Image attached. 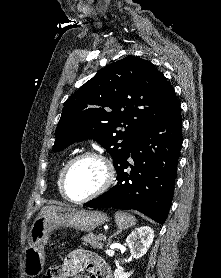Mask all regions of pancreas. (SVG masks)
<instances>
[{
    "label": "pancreas",
    "instance_id": "obj_1",
    "mask_svg": "<svg viewBox=\"0 0 221 278\" xmlns=\"http://www.w3.org/2000/svg\"><path fill=\"white\" fill-rule=\"evenodd\" d=\"M103 239L101 235H94L92 233H89L88 235H84L82 237V240L84 241V245H90L94 249H102L103 244L100 243V241Z\"/></svg>",
    "mask_w": 221,
    "mask_h": 278
}]
</instances>
